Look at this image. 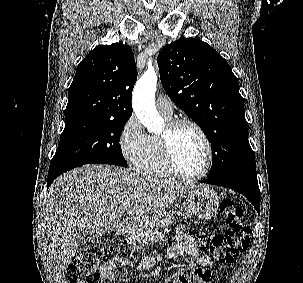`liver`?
Segmentation results:
<instances>
[{
    "label": "liver",
    "instance_id": "6515ba94",
    "mask_svg": "<svg viewBox=\"0 0 303 283\" xmlns=\"http://www.w3.org/2000/svg\"><path fill=\"white\" fill-rule=\"evenodd\" d=\"M198 187L109 165H87L63 174L49 188L45 209L58 275L64 277L82 236H102L117 229L123 211L137 221L161 214Z\"/></svg>",
    "mask_w": 303,
    "mask_h": 283
}]
</instances>
